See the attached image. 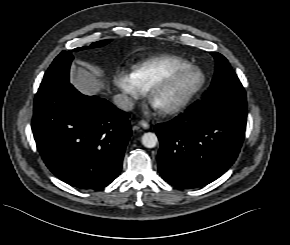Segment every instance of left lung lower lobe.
I'll return each instance as SVG.
<instances>
[{"label": "left lung lower lobe", "instance_id": "1", "mask_svg": "<svg viewBox=\"0 0 290 245\" xmlns=\"http://www.w3.org/2000/svg\"><path fill=\"white\" fill-rule=\"evenodd\" d=\"M246 120L244 88L228 87L205 95L170 122L157 124L161 176L179 188L216 180L236 160Z\"/></svg>", "mask_w": 290, "mask_h": 245}]
</instances>
